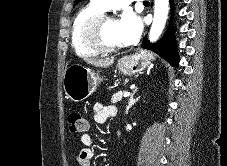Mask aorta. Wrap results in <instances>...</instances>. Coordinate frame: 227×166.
Instances as JSON below:
<instances>
[{
  "label": "aorta",
  "mask_w": 227,
  "mask_h": 166,
  "mask_svg": "<svg viewBox=\"0 0 227 166\" xmlns=\"http://www.w3.org/2000/svg\"><path fill=\"white\" fill-rule=\"evenodd\" d=\"M169 0H154V18L149 33V40L155 42L160 37L168 17Z\"/></svg>",
  "instance_id": "1"
}]
</instances>
